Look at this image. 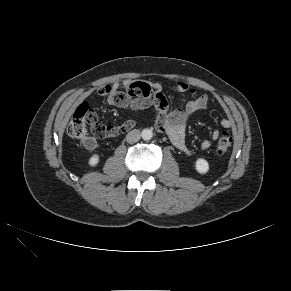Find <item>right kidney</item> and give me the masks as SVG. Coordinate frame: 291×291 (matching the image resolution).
Wrapping results in <instances>:
<instances>
[{
	"label": "right kidney",
	"instance_id": "1",
	"mask_svg": "<svg viewBox=\"0 0 291 291\" xmlns=\"http://www.w3.org/2000/svg\"><path fill=\"white\" fill-rule=\"evenodd\" d=\"M88 163H89V165L92 166V167L96 166V165L99 163V155H97V154L92 155V156L90 157Z\"/></svg>",
	"mask_w": 291,
	"mask_h": 291
}]
</instances>
